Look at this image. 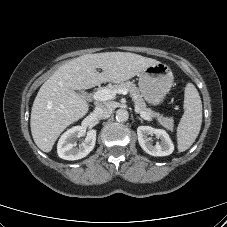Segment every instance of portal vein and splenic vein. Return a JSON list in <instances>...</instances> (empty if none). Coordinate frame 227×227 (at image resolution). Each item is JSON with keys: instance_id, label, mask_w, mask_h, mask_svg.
<instances>
[{"instance_id": "portal-vein-and-splenic-vein-1", "label": "portal vein and splenic vein", "mask_w": 227, "mask_h": 227, "mask_svg": "<svg viewBox=\"0 0 227 227\" xmlns=\"http://www.w3.org/2000/svg\"><path fill=\"white\" fill-rule=\"evenodd\" d=\"M119 93V94H126L127 93V90H113V89H109V88H103V89H100L98 90L97 92H95L93 94V99L96 100V101H106V100H111L115 97V95ZM135 111L137 113L140 114V116L142 118H144L145 120H148L150 121L151 120V117L145 113V112H139V110L137 108H135Z\"/></svg>"}]
</instances>
